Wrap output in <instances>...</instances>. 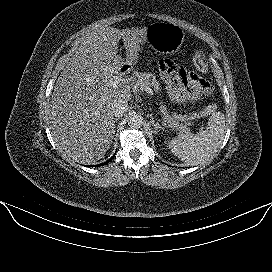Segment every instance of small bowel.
Listing matches in <instances>:
<instances>
[{
    "label": "small bowel",
    "mask_w": 272,
    "mask_h": 272,
    "mask_svg": "<svg viewBox=\"0 0 272 272\" xmlns=\"http://www.w3.org/2000/svg\"><path fill=\"white\" fill-rule=\"evenodd\" d=\"M162 77L171 100L177 104L195 102L209 95L212 86L193 72H188L170 60L160 65Z\"/></svg>",
    "instance_id": "1"
}]
</instances>
